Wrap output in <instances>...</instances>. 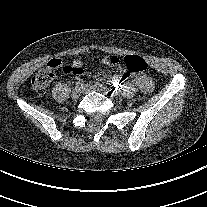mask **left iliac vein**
I'll return each mask as SVG.
<instances>
[{"label":"left iliac vein","mask_w":207,"mask_h":207,"mask_svg":"<svg viewBox=\"0 0 207 207\" xmlns=\"http://www.w3.org/2000/svg\"><path fill=\"white\" fill-rule=\"evenodd\" d=\"M91 91H97V92H101V93H105V95H107V98H110L109 92H107L106 89L104 88H100V87H96L95 85H84L82 87V92L83 93H89Z\"/></svg>","instance_id":"left-iliac-vein-1"}]
</instances>
